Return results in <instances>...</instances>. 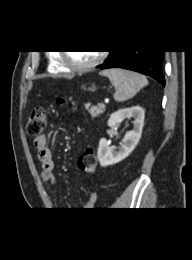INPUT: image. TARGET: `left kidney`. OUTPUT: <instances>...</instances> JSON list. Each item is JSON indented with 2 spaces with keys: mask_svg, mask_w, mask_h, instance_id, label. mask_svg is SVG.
<instances>
[{
  "mask_svg": "<svg viewBox=\"0 0 192 260\" xmlns=\"http://www.w3.org/2000/svg\"><path fill=\"white\" fill-rule=\"evenodd\" d=\"M124 118H134L133 129L126 133L118 148L109 146L105 138L99 141L97 157L102 167L116 164L128 157L141 138L145 118L144 109L140 106L120 109L111 114L108 126L116 127Z\"/></svg>",
  "mask_w": 192,
  "mask_h": 260,
  "instance_id": "5707ae66",
  "label": "left kidney"
}]
</instances>
